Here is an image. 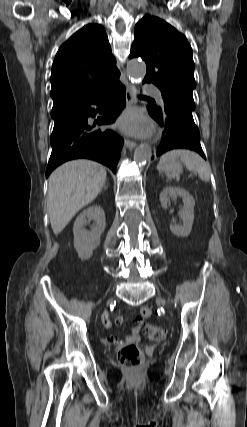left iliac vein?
I'll use <instances>...</instances> for the list:
<instances>
[{"instance_id": "4c4485c4", "label": "left iliac vein", "mask_w": 247, "mask_h": 427, "mask_svg": "<svg viewBox=\"0 0 247 427\" xmlns=\"http://www.w3.org/2000/svg\"><path fill=\"white\" fill-rule=\"evenodd\" d=\"M158 300L164 305V304H166V302H165V300L164 299H162V298H158Z\"/></svg>"}]
</instances>
